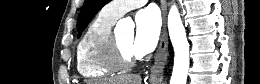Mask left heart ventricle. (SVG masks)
Here are the masks:
<instances>
[{
    "label": "left heart ventricle",
    "instance_id": "1",
    "mask_svg": "<svg viewBox=\"0 0 260 84\" xmlns=\"http://www.w3.org/2000/svg\"><path fill=\"white\" fill-rule=\"evenodd\" d=\"M115 38L124 52L128 54H134L132 47L134 36L132 34H120L115 36Z\"/></svg>",
    "mask_w": 260,
    "mask_h": 84
}]
</instances>
